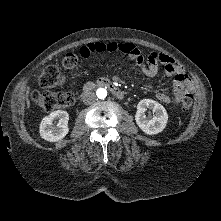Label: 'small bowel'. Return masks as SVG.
Returning <instances> with one entry per match:
<instances>
[{
	"label": "small bowel",
	"instance_id": "1",
	"mask_svg": "<svg viewBox=\"0 0 221 221\" xmlns=\"http://www.w3.org/2000/svg\"><path fill=\"white\" fill-rule=\"evenodd\" d=\"M99 53H123L136 64L144 75L149 77L156 76L159 65H164L166 76L174 79V93L173 96H170L165 92H158L156 97L162 103L176 104L187 97L192 98L193 88L189 77L173 58L164 53L152 52L145 57L136 45L129 42L116 41L89 42L79 49V54L82 58H88L92 54Z\"/></svg>",
	"mask_w": 221,
	"mask_h": 221
}]
</instances>
